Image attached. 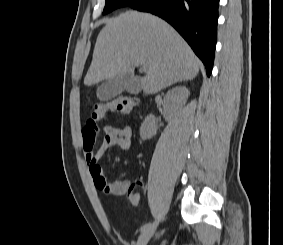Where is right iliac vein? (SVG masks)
Segmentation results:
<instances>
[{
  "instance_id": "1",
  "label": "right iliac vein",
  "mask_w": 283,
  "mask_h": 245,
  "mask_svg": "<svg viewBox=\"0 0 283 245\" xmlns=\"http://www.w3.org/2000/svg\"><path fill=\"white\" fill-rule=\"evenodd\" d=\"M158 227V222H154L149 229H147L138 239L137 245H146L151 237L154 235Z\"/></svg>"
}]
</instances>
